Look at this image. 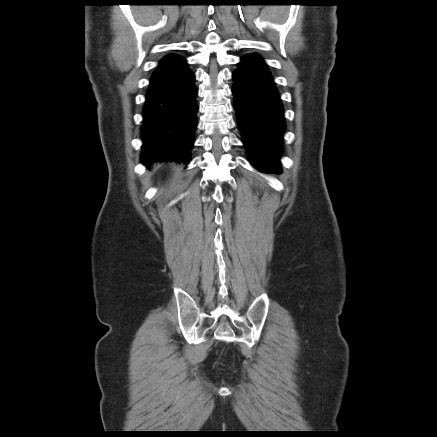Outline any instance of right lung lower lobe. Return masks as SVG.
I'll list each match as a JSON object with an SVG mask.
<instances>
[{"instance_id":"98d812e1","label":"right lung lower lobe","mask_w":437,"mask_h":437,"mask_svg":"<svg viewBox=\"0 0 437 437\" xmlns=\"http://www.w3.org/2000/svg\"><path fill=\"white\" fill-rule=\"evenodd\" d=\"M195 75L186 59L162 63L154 71L143 108L142 163L189 162L197 127Z\"/></svg>"}]
</instances>
